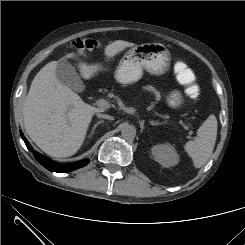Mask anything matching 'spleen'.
Listing matches in <instances>:
<instances>
[{
    "label": "spleen",
    "instance_id": "3e777b00",
    "mask_svg": "<svg viewBox=\"0 0 245 245\" xmlns=\"http://www.w3.org/2000/svg\"><path fill=\"white\" fill-rule=\"evenodd\" d=\"M217 137V119L210 115L197 130V137L184 145L195 168H201L211 157Z\"/></svg>",
    "mask_w": 245,
    "mask_h": 245
}]
</instances>
